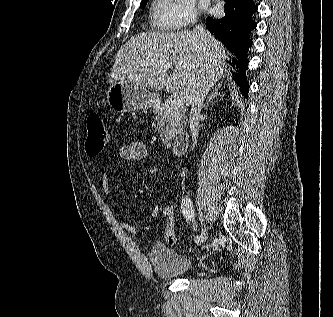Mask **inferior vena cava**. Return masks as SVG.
Here are the masks:
<instances>
[{"label":"inferior vena cava","mask_w":333,"mask_h":317,"mask_svg":"<svg viewBox=\"0 0 333 317\" xmlns=\"http://www.w3.org/2000/svg\"><path fill=\"white\" fill-rule=\"evenodd\" d=\"M194 31L198 34L199 37L208 38V34L202 26H196ZM210 88L211 83L208 78L198 80V82L196 83L195 91L192 95L189 126L192 141L194 142V144L197 143V137L199 132V116L203 106V101Z\"/></svg>","instance_id":"obj_1"}]
</instances>
